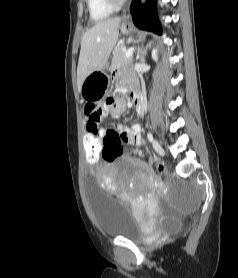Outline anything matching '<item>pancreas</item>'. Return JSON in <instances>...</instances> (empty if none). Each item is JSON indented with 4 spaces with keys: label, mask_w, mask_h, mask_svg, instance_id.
I'll list each match as a JSON object with an SVG mask.
<instances>
[{
    "label": "pancreas",
    "mask_w": 238,
    "mask_h": 278,
    "mask_svg": "<svg viewBox=\"0 0 238 278\" xmlns=\"http://www.w3.org/2000/svg\"><path fill=\"white\" fill-rule=\"evenodd\" d=\"M126 49L124 46L118 47L113 53L112 69H118L132 62V57L126 58Z\"/></svg>",
    "instance_id": "cf45deb5"
}]
</instances>
